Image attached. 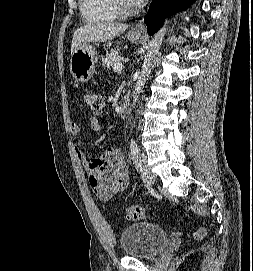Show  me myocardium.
Here are the masks:
<instances>
[{
    "instance_id": "1",
    "label": "myocardium",
    "mask_w": 253,
    "mask_h": 271,
    "mask_svg": "<svg viewBox=\"0 0 253 271\" xmlns=\"http://www.w3.org/2000/svg\"><path fill=\"white\" fill-rule=\"evenodd\" d=\"M118 13L122 16H129L139 11V5H129L127 0H114Z\"/></svg>"
}]
</instances>
